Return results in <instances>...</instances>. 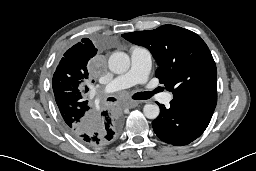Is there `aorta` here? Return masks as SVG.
<instances>
[{
	"label": "aorta",
	"mask_w": 256,
	"mask_h": 171,
	"mask_svg": "<svg viewBox=\"0 0 256 171\" xmlns=\"http://www.w3.org/2000/svg\"><path fill=\"white\" fill-rule=\"evenodd\" d=\"M108 66L112 72L122 74L128 71L130 58L125 52H115L109 57ZM143 113L148 119H156L160 113V109L156 104H146L143 107Z\"/></svg>",
	"instance_id": "obj_1"
}]
</instances>
